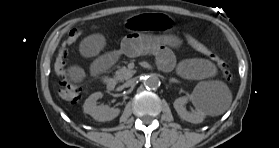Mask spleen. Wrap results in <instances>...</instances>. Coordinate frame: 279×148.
<instances>
[{"mask_svg":"<svg viewBox=\"0 0 279 148\" xmlns=\"http://www.w3.org/2000/svg\"><path fill=\"white\" fill-rule=\"evenodd\" d=\"M195 91L211 114L220 115L224 113L231 104V93L227 86L221 81H209L199 83Z\"/></svg>","mask_w":279,"mask_h":148,"instance_id":"3e777b00","label":"spleen"}]
</instances>
